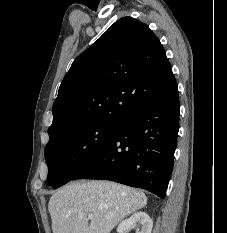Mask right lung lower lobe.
Wrapping results in <instances>:
<instances>
[{"label": "right lung lower lobe", "instance_id": "1", "mask_svg": "<svg viewBox=\"0 0 227 233\" xmlns=\"http://www.w3.org/2000/svg\"><path fill=\"white\" fill-rule=\"evenodd\" d=\"M179 110L175 83L123 118L113 136L72 180H111L164 199L173 169Z\"/></svg>", "mask_w": 227, "mask_h": 233}]
</instances>
